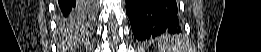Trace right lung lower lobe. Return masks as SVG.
<instances>
[{"mask_svg": "<svg viewBox=\"0 0 261 52\" xmlns=\"http://www.w3.org/2000/svg\"><path fill=\"white\" fill-rule=\"evenodd\" d=\"M58 5L63 19L74 18L83 9L81 4L75 1L59 0Z\"/></svg>", "mask_w": 261, "mask_h": 52, "instance_id": "right-lung-lower-lobe-1", "label": "right lung lower lobe"}]
</instances>
